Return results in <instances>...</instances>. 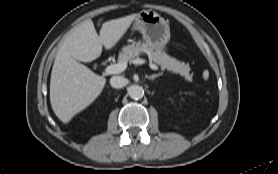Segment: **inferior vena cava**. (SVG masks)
Here are the masks:
<instances>
[{
	"mask_svg": "<svg viewBox=\"0 0 278 174\" xmlns=\"http://www.w3.org/2000/svg\"><path fill=\"white\" fill-rule=\"evenodd\" d=\"M110 84L113 88H122L127 84V79L122 76H113L110 79Z\"/></svg>",
	"mask_w": 278,
	"mask_h": 174,
	"instance_id": "inferior-vena-cava-1",
	"label": "inferior vena cava"
}]
</instances>
